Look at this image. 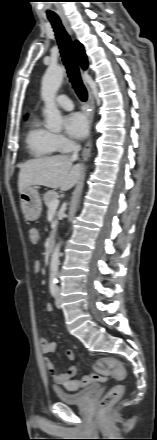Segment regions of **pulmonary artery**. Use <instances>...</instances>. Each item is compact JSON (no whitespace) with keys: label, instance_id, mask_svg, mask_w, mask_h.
I'll return each mask as SVG.
<instances>
[{"label":"pulmonary artery","instance_id":"pulmonary-artery-1","mask_svg":"<svg viewBox=\"0 0 157 440\" xmlns=\"http://www.w3.org/2000/svg\"><path fill=\"white\" fill-rule=\"evenodd\" d=\"M57 105L65 110H72L73 103L66 95H59L57 97Z\"/></svg>","mask_w":157,"mask_h":440}]
</instances>
